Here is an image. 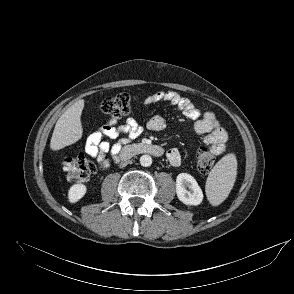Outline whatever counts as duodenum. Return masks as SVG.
<instances>
[{
	"instance_id": "410a0bca",
	"label": "duodenum",
	"mask_w": 294,
	"mask_h": 294,
	"mask_svg": "<svg viewBox=\"0 0 294 294\" xmlns=\"http://www.w3.org/2000/svg\"><path fill=\"white\" fill-rule=\"evenodd\" d=\"M164 150L162 147L154 144H147V143H136L131 144L123 149L118 154V160L121 162L127 161L132 158L134 155L138 154H149L155 157L162 156Z\"/></svg>"
}]
</instances>
